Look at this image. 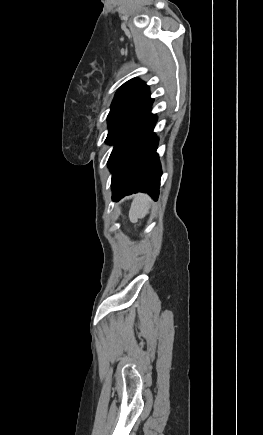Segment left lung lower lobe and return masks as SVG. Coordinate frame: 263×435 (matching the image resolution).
Returning <instances> with one entry per match:
<instances>
[{
  "label": "left lung lower lobe",
  "instance_id": "left-lung-lower-lobe-1",
  "mask_svg": "<svg viewBox=\"0 0 263 435\" xmlns=\"http://www.w3.org/2000/svg\"><path fill=\"white\" fill-rule=\"evenodd\" d=\"M150 111L151 106L114 142L108 160L114 201L136 192H147L154 200L158 198L162 172L156 153L158 139L153 133L157 119Z\"/></svg>",
  "mask_w": 263,
  "mask_h": 435
}]
</instances>
